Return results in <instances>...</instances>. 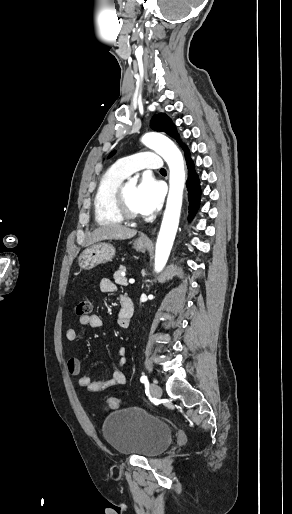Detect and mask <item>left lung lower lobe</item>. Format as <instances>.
Wrapping results in <instances>:
<instances>
[{
  "instance_id": "0a47b994",
  "label": "left lung lower lobe",
  "mask_w": 292,
  "mask_h": 514,
  "mask_svg": "<svg viewBox=\"0 0 292 514\" xmlns=\"http://www.w3.org/2000/svg\"><path fill=\"white\" fill-rule=\"evenodd\" d=\"M185 159L188 166V180H187V189H188V201H189V216L188 219L191 220L196 214L199 206H200V198H201V188H200V180L198 175L194 170V163L190 158V152L187 147L184 149Z\"/></svg>"
}]
</instances>
